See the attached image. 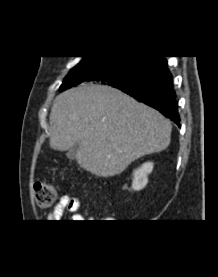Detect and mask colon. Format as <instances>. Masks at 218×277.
Instances as JSON below:
<instances>
[{
	"label": "colon",
	"mask_w": 218,
	"mask_h": 277,
	"mask_svg": "<svg viewBox=\"0 0 218 277\" xmlns=\"http://www.w3.org/2000/svg\"><path fill=\"white\" fill-rule=\"evenodd\" d=\"M36 203L41 208L50 207L56 200L58 189L51 182L39 181L34 185Z\"/></svg>",
	"instance_id": "colon-1"
}]
</instances>
